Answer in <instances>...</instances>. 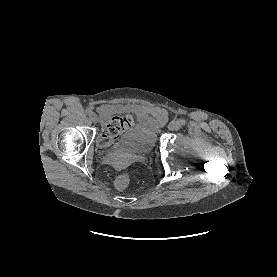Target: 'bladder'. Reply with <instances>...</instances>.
Instances as JSON below:
<instances>
[{
    "instance_id": "bladder-1",
    "label": "bladder",
    "mask_w": 277,
    "mask_h": 277,
    "mask_svg": "<svg viewBox=\"0 0 277 277\" xmlns=\"http://www.w3.org/2000/svg\"><path fill=\"white\" fill-rule=\"evenodd\" d=\"M158 126L151 119H140L111 144L117 153H147L158 139Z\"/></svg>"
}]
</instances>
